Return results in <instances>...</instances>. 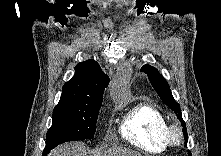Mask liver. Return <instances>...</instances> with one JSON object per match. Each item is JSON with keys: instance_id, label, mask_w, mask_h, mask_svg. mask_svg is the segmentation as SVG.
Returning a JSON list of instances; mask_svg holds the SVG:
<instances>
[{"instance_id": "liver-1", "label": "liver", "mask_w": 221, "mask_h": 156, "mask_svg": "<svg viewBox=\"0 0 221 156\" xmlns=\"http://www.w3.org/2000/svg\"><path fill=\"white\" fill-rule=\"evenodd\" d=\"M49 156H142L140 153L121 147H114L108 150L88 151L85 145L80 142L63 144L53 150Z\"/></svg>"}]
</instances>
